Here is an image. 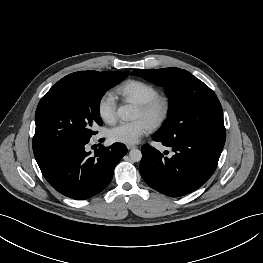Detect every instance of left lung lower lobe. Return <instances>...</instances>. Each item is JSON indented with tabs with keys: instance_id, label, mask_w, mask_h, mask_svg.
<instances>
[{
	"instance_id": "1",
	"label": "left lung lower lobe",
	"mask_w": 263,
	"mask_h": 263,
	"mask_svg": "<svg viewBox=\"0 0 263 263\" xmlns=\"http://www.w3.org/2000/svg\"><path fill=\"white\" fill-rule=\"evenodd\" d=\"M152 138L172 148L175 154L168 158L155 148L144 145L140 174L150 187L167 196L178 197L197 190L212 176L225 144L226 133L172 138L155 134Z\"/></svg>"
}]
</instances>
